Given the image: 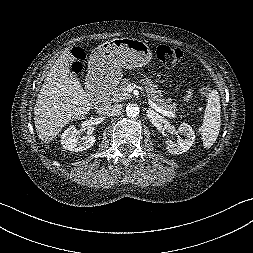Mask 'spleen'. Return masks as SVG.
I'll list each match as a JSON object with an SVG mask.
<instances>
[{
	"instance_id": "obj_1",
	"label": "spleen",
	"mask_w": 253,
	"mask_h": 253,
	"mask_svg": "<svg viewBox=\"0 0 253 253\" xmlns=\"http://www.w3.org/2000/svg\"><path fill=\"white\" fill-rule=\"evenodd\" d=\"M221 105L217 90H212L208 96L207 106L203 124L201 126V137L204 148H210L216 141L221 126Z\"/></svg>"
}]
</instances>
